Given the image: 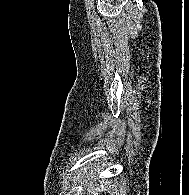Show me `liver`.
Instances as JSON below:
<instances>
[{
	"instance_id": "obj_1",
	"label": "liver",
	"mask_w": 189,
	"mask_h": 195,
	"mask_svg": "<svg viewBox=\"0 0 189 195\" xmlns=\"http://www.w3.org/2000/svg\"><path fill=\"white\" fill-rule=\"evenodd\" d=\"M88 190L93 195H100V192L105 191L106 190V187L102 186L101 187V190H100L98 185H93Z\"/></svg>"
}]
</instances>
